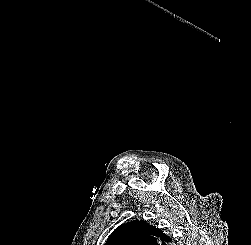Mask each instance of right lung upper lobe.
Returning a JSON list of instances; mask_svg holds the SVG:
<instances>
[{"label": "right lung upper lobe", "instance_id": "1", "mask_svg": "<svg viewBox=\"0 0 251 245\" xmlns=\"http://www.w3.org/2000/svg\"><path fill=\"white\" fill-rule=\"evenodd\" d=\"M169 242L171 238L160 229L135 220L119 226L105 245H168Z\"/></svg>", "mask_w": 251, "mask_h": 245}]
</instances>
